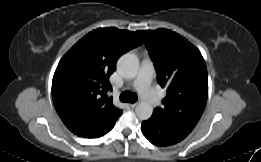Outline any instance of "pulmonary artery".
<instances>
[{
  "instance_id": "1",
  "label": "pulmonary artery",
  "mask_w": 261,
  "mask_h": 162,
  "mask_svg": "<svg viewBox=\"0 0 261 162\" xmlns=\"http://www.w3.org/2000/svg\"><path fill=\"white\" fill-rule=\"evenodd\" d=\"M154 76V65L152 61L145 58L142 61L141 69L138 76L132 83V87L138 91L139 95L149 103L159 104L160 97L151 87V81Z\"/></svg>"
}]
</instances>
